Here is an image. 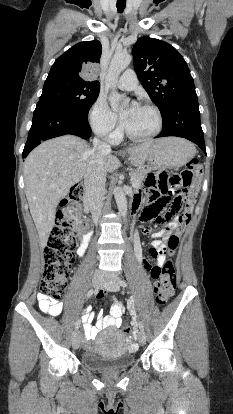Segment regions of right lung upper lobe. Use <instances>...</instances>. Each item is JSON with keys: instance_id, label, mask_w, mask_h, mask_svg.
I'll return each mask as SVG.
<instances>
[{"instance_id": "obj_1", "label": "right lung upper lobe", "mask_w": 233, "mask_h": 414, "mask_svg": "<svg viewBox=\"0 0 233 414\" xmlns=\"http://www.w3.org/2000/svg\"><path fill=\"white\" fill-rule=\"evenodd\" d=\"M102 46L99 41L80 42L63 55L52 65L48 77H63L71 80L99 85L98 81H87L82 78L87 65L99 63Z\"/></svg>"}]
</instances>
